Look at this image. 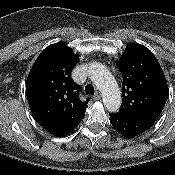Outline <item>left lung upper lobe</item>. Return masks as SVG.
<instances>
[{"label":"left lung upper lobe","instance_id":"obj_1","mask_svg":"<svg viewBox=\"0 0 175 175\" xmlns=\"http://www.w3.org/2000/svg\"><path fill=\"white\" fill-rule=\"evenodd\" d=\"M116 62L123 76V101L119 113L160 115L169 89L163 70L152 52L141 44L131 43Z\"/></svg>","mask_w":175,"mask_h":175}]
</instances>
